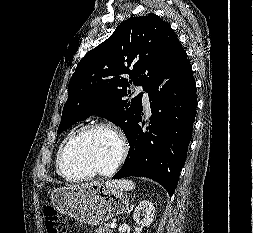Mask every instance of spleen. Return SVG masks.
<instances>
[{
	"label": "spleen",
	"instance_id": "obj_1",
	"mask_svg": "<svg viewBox=\"0 0 253 233\" xmlns=\"http://www.w3.org/2000/svg\"><path fill=\"white\" fill-rule=\"evenodd\" d=\"M111 185L122 190H132L135 188V183L130 180L112 181Z\"/></svg>",
	"mask_w": 253,
	"mask_h": 233
}]
</instances>
